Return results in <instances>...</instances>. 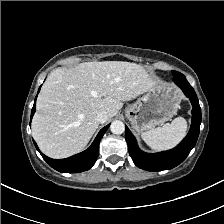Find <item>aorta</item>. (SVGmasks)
<instances>
[{
    "label": "aorta",
    "mask_w": 224,
    "mask_h": 224,
    "mask_svg": "<svg viewBox=\"0 0 224 224\" xmlns=\"http://www.w3.org/2000/svg\"><path fill=\"white\" fill-rule=\"evenodd\" d=\"M110 130L113 134H122L125 131V125L121 120H115L111 123Z\"/></svg>",
    "instance_id": "1"
}]
</instances>
